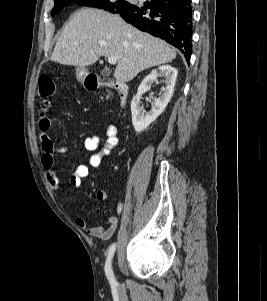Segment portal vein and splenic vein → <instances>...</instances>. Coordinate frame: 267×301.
Returning <instances> with one entry per match:
<instances>
[{
    "mask_svg": "<svg viewBox=\"0 0 267 301\" xmlns=\"http://www.w3.org/2000/svg\"><path fill=\"white\" fill-rule=\"evenodd\" d=\"M108 62L110 64H116L117 63V57L116 56H110V57H108Z\"/></svg>",
    "mask_w": 267,
    "mask_h": 301,
    "instance_id": "1",
    "label": "portal vein and splenic vein"
}]
</instances>
